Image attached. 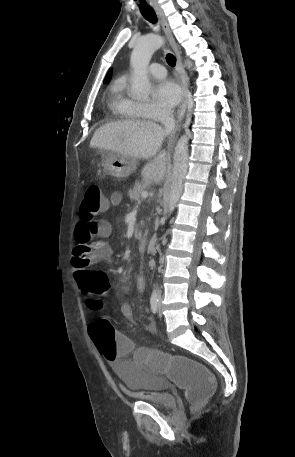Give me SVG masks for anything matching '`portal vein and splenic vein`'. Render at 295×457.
I'll use <instances>...</instances> for the list:
<instances>
[{"label": "portal vein and splenic vein", "mask_w": 295, "mask_h": 457, "mask_svg": "<svg viewBox=\"0 0 295 457\" xmlns=\"http://www.w3.org/2000/svg\"><path fill=\"white\" fill-rule=\"evenodd\" d=\"M141 197L143 199L147 198L148 197V192L147 191L142 192Z\"/></svg>", "instance_id": "portal-vein-and-splenic-vein-1"}]
</instances>
